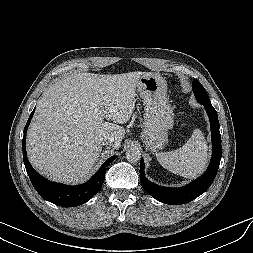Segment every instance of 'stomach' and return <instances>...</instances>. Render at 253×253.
I'll list each match as a JSON object with an SVG mask.
<instances>
[{
	"label": "stomach",
	"mask_w": 253,
	"mask_h": 253,
	"mask_svg": "<svg viewBox=\"0 0 253 253\" xmlns=\"http://www.w3.org/2000/svg\"><path fill=\"white\" fill-rule=\"evenodd\" d=\"M137 87L145 111L141 137L149 150L156 151L168 141V131L174 123L167 83L160 74L151 73L142 76Z\"/></svg>",
	"instance_id": "0dacf381"
}]
</instances>
